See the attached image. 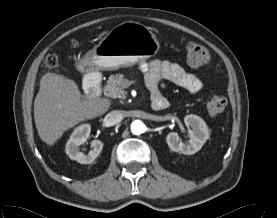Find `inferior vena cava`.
Returning a JSON list of instances; mask_svg holds the SVG:
<instances>
[{
    "mask_svg": "<svg viewBox=\"0 0 277 218\" xmlns=\"http://www.w3.org/2000/svg\"><path fill=\"white\" fill-rule=\"evenodd\" d=\"M122 119H123L122 112L119 110H113L105 116L104 124L106 126H112L121 122Z\"/></svg>",
    "mask_w": 277,
    "mask_h": 218,
    "instance_id": "inferior-vena-cava-1",
    "label": "inferior vena cava"
}]
</instances>
